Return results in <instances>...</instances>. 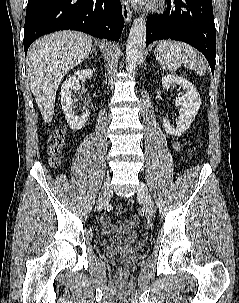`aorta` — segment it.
Instances as JSON below:
<instances>
[{
  "label": "aorta",
  "instance_id": "1",
  "mask_svg": "<svg viewBox=\"0 0 239 303\" xmlns=\"http://www.w3.org/2000/svg\"><path fill=\"white\" fill-rule=\"evenodd\" d=\"M146 46V21L138 17L133 21L126 49V69L135 72L144 54Z\"/></svg>",
  "mask_w": 239,
  "mask_h": 303
}]
</instances>
